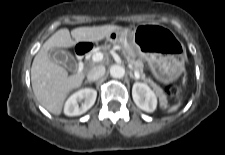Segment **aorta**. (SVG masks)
<instances>
[{"label":"aorta","instance_id":"aorta-1","mask_svg":"<svg viewBox=\"0 0 225 155\" xmlns=\"http://www.w3.org/2000/svg\"><path fill=\"white\" fill-rule=\"evenodd\" d=\"M110 75L113 78H123L125 75V68L121 65H113L110 68Z\"/></svg>","mask_w":225,"mask_h":155}]
</instances>
